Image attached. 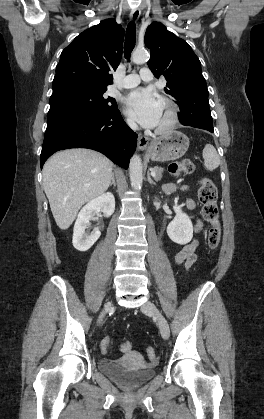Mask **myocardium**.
Wrapping results in <instances>:
<instances>
[{
  "label": "myocardium",
  "instance_id": "1",
  "mask_svg": "<svg viewBox=\"0 0 264 419\" xmlns=\"http://www.w3.org/2000/svg\"><path fill=\"white\" fill-rule=\"evenodd\" d=\"M160 102L166 108V116L163 123L156 128V132L162 134L170 131L177 124L179 119V108L169 97L162 96Z\"/></svg>",
  "mask_w": 264,
  "mask_h": 419
}]
</instances>
